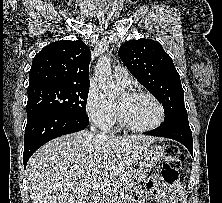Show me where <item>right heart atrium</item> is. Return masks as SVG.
<instances>
[{
  "instance_id": "d8ad5b80",
  "label": "right heart atrium",
  "mask_w": 222,
  "mask_h": 203,
  "mask_svg": "<svg viewBox=\"0 0 222 203\" xmlns=\"http://www.w3.org/2000/svg\"><path fill=\"white\" fill-rule=\"evenodd\" d=\"M89 118L102 129H110L117 118L116 107L98 90L91 89L86 103Z\"/></svg>"
}]
</instances>
